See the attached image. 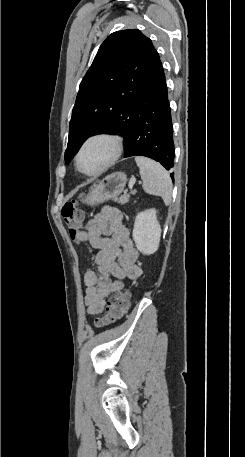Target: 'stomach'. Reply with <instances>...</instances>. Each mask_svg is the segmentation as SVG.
<instances>
[{
	"mask_svg": "<svg viewBox=\"0 0 245 457\" xmlns=\"http://www.w3.org/2000/svg\"><path fill=\"white\" fill-rule=\"evenodd\" d=\"M126 182L127 174L125 172H112V174H108L103 180H100L98 184L92 186L84 202H87V204H99V202H105L109 198H117Z\"/></svg>",
	"mask_w": 245,
	"mask_h": 457,
	"instance_id": "1",
	"label": "stomach"
}]
</instances>
